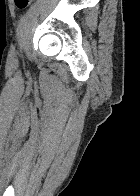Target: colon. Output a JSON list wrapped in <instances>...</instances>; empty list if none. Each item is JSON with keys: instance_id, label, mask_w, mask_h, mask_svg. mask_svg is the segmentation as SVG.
<instances>
[{"instance_id": "obj_1", "label": "colon", "mask_w": 140, "mask_h": 196, "mask_svg": "<svg viewBox=\"0 0 140 196\" xmlns=\"http://www.w3.org/2000/svg\"><path fill=\"white\" fill-rule=\"evenodd\" d=\"M28 0H15L16 5L21 6L24 3H27Z\"/></svg>"}]
</instances>
